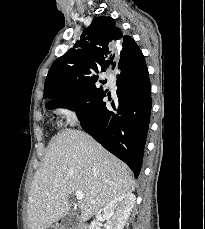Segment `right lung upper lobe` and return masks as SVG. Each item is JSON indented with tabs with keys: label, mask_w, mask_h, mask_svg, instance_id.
I'll list each match as a JSON object with an SVG mask.
<instances>
[{
	"label": "right lung upper lobe",
	"mask_w": 205,
	"mask_h": 229,
	"mask_svg": "<svg viewBox=\"0 0 205 229\" xmlns=\"http://www.w3.org/2000/svg\"><path fill=\"white\" fill-rule=\"evenodd\" d=\"M119 57V60H118ZM143 58L139 47L123 35L111 17H97L87 27L74 48L51 66L44 85V98L56 99L73 93L80 85L98 80V73L109 67L129 69Z\"/></svg>",
	"instance_id": "right-lung-upper-lobe-1"
}]
</instances>
